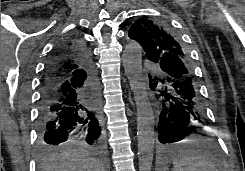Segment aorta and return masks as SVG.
Wrapping results in <instances>:
<instances>
[{
	"instance_id": "obj_1",
	"label": "aorta",
	"mask_w": 245,
	"mask_h": 171,
	"mask_svg": "<svg viewBox=\"0 0 245 171\" xmlns=\"http://www.w3.org/2000/svg\"><path fill=\"white\" fill-rule=\"evenodd\" d=\"M123 66L137 103V138L139 171H151L155 142L154 113L149 102L142 69V48L138 43L126 45Z\"/></svg>"
}]
</instances>
